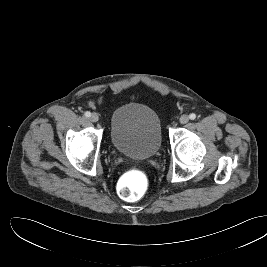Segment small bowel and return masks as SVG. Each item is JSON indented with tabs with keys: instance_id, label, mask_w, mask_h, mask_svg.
Segmentation results:
<instances>
[{
	"instance_id": "obj_1",
	"label": "small bowel",
	"mask_w": 267,
	"mask_h": 267,
	"mask_svg": "<svg viewBox=\"0 0 267 267\" xmlns=\"http://www.w3.org/2000/svg\"><path fill=\"white\" fill-rule=\"evenodd\" d=\"M101 103H102V98H99L98 100L91 101V102L89 103V106H90V107H95L96 105L101 104Z\"/></svg>"
}]
</instances>
